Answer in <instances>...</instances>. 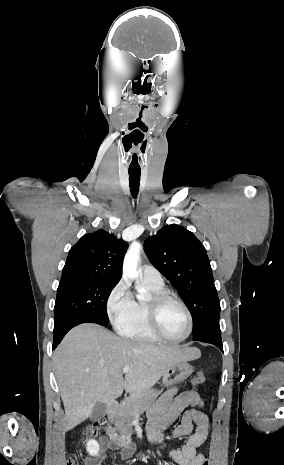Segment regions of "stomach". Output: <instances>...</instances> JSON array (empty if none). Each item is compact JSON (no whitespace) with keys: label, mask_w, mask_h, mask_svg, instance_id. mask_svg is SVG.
<instances>
[{"label":"stomach","mask_w":284,"mask_h":465,"mask_svg":"<svg viewBox=\"0 0 284 465\" xmlns=\"http://www.w3.org/2000/svg\"><path fill=\"white\" fill-rule=\"evenodd\" d=\"M191 373H193V367L187 361H181V363H177L175 367H171L166 371L162 379L163 385L164 387H172V385L182 383V381L190 377Z\"/></svg>","instance_id":"0dacf381"}]
</instances>
